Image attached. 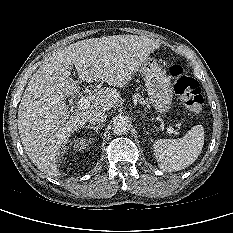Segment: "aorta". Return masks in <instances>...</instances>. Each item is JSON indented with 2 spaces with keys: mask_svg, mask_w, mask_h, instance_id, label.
<instances>
[{
  "mask_svg": "<svg viewBox=\"0 0 233 233\" xmlns=\"http://www.w3.org/2000/svg\"><path fill=\"white\" fill-rule=\"evenodd\" d=\"M130 129L129 121L124 117H116L112 122V130L117 135H124Z\"/></svg>",
  "mask_w": 233,
  "mask_h": 233,
  "instance_id": "obj_1",
  "label": "aorta"
}]
</instances>
